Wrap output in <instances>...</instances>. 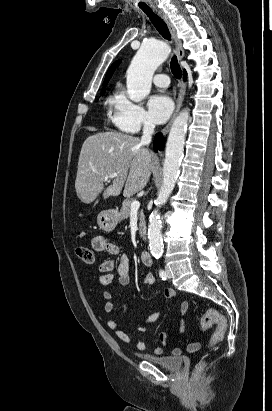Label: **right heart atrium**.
I'll return each instance as SVG.
<instances>
[{"mask_svg": "<svg viewBox=\"0 0 272 411\" xmlns=\"http://www.w3.org/2000/svg\"><path fill=\"white\" fill-rule=\"evenodd\" d=\"M110 121L120 131L138 133L141 129L153 126L146 110L128 98L126 93L118 90L110 101Z\"/></svg>", "mask_w": 272, "mask_h": 411, "instance_id": "1", "label": "right heart atrium"}]
</instances>
